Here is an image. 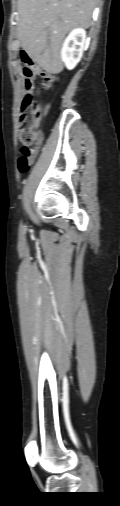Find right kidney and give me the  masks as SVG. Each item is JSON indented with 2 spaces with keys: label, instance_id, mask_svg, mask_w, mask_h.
<instances>
[{
  "label": "right kidney",
  "instance_id": "obj_1",
  "mask_svg": "<svg viewBox=\"0 0 120 506\" xmlns=\"http://www.w3.org/2000/svg\"><path fill=\"white\" fill-rule=\"evenodd\" d=\"M86 40V32L82 28L72 30L65 39L61 50V59L68 69H73L80 61Z\"/></svg>",
  "mask_w": 120,
  "mask_h": 506
}]
</instances>
